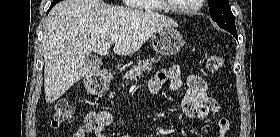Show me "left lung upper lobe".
<instances>
[{
	"label": "left lung upper lobe",
	"mask_w": 280,
	"mask_h": 137,
	"mask_svg": "<svg viewBox=\"0 0 280 137\" xmlns=\"http://www.w3.org/2000/svg\"><path fill=\"white\" fill-rule=\"evenodd\" d=\"M209 11L212 19L219 27L237 33L235 19L228 0H208Z\"/></svg>",
	"instance_id": "left-lung-upper-lobe-1"
}]
</instances>
